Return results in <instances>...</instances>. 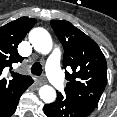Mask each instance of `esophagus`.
<instances>
[{
  "instance_id": "esophagus-1",
  "label": "esophagus",
  "mask_w": 117,
  "mask_h": 117,
  "mask_svg": "<svg viewBox=\"0 0 117 117\" xmlns=\"http://www.w3.org/2000/svg\"><path fill=\"white\" fill-rule=\"evenodd\" d=\"M38 85H43L45 83L44 79H38L37 80Z\"/></svg>"
}]
</instances>
